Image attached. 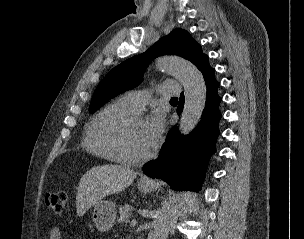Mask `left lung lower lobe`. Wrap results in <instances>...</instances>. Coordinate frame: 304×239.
<instances>
[{
  "label": "left lung lower lobe",
  "instance_id": "left-lung-lower-lobe-1",
  "mask_svg": "<svg viewBox=\"0 0 304 239\" xmlns=\"http://www.w3.org/2000/svg\"><path fill=\"white\" fill-rule=\"evenodd\" d=\"M198 69L202 72L207 87L206 105L200 124L187 136L181 135L174 126L166 137L159 157L143 168L144 174L166 181L175 190L199 189L207 162L215 152V143L219 135V82L215 79V70L209 65L208 57ZM183 106L184 95L181 94L177 107L179 115Z\"/></svg>",
  "mask_w": 304,
  "mask_h": 239
}]
</instances>
